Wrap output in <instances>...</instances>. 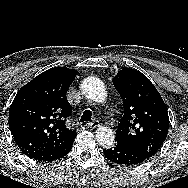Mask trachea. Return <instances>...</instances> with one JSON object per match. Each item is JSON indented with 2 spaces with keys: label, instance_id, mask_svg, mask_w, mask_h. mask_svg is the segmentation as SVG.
<instances>
[{
  "label": "trachea",
  "instance_id": "3493384b",
  "mask_svg": "<svg viewBox=\"0 0 188 188\" xmlns=\"http://www.w3.org/2000/svg\"><path fill=\"white\" fill-rule=\"evenodd\" d=\"M91 118H92V112L90 110H85L80 119V122H91Z\"/></svg>",
  "mask_w": 188,
  "mask_h": 188
}]
</instances>
